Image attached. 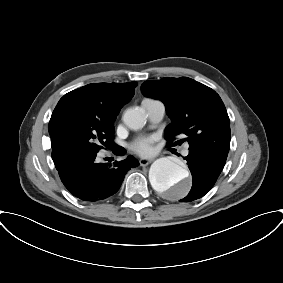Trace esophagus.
Wrapping results in <instances>:
<instances>
[{"label":"esophagus","instance_id":"34e87169","mask_svg":"<svg viewBox=\"0 0 283 283\" xmlns=\"http://www.w3.org/2000/svg\"><path fill=\"white\" fill-rule=\"evenodd\" d=\"M151 162H152V160H147V159H140V160H139V164H140L141 166H147V165H149Z\"/></svg>","mask_w":283,"mask_h":283}]
</instances>
